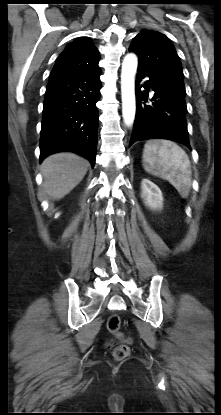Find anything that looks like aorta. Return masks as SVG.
<instances>
[{
  "label": "aorta",
  "instance_id": "1",
  "mask_svg": "<svg viewBox=\"0 0 221 415\" xmlns=\"http://www.w3.org/2000/svg\"><path fill=\"white\" fill-rule=\"evenodd\" d=\"M138 59L133 53L124 57L121 71L122 117L124 124L130 127L135 119V74Z\"/></svg>",
  "mask_w": 221,
  "mask_h": 415
}]
</instances>
